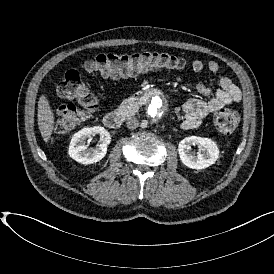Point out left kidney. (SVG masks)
Listing matches in <instances>:
<instances>
[{"instance_id":"1","label":"left kidney","mask_w":274,"mask_h":274,"mask_svg":"<svg viewBox=\"0 0 274 274\" xmlns=\"http://www.w3.org/2000/svg\"><path fill=\"white\" fill-rule=\"evenodd\" d=\"M197 145L202 153L193 154L191 146ZM181 162L188 168L195 170L206 169L219 159V144L211 138L187 136L178 145Z\"/></svg>"}]
</instances>
